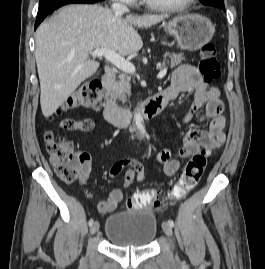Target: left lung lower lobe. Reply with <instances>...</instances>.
Instances as JSON below:
<instances>
[{"label":"left lung lower lobe","instance_id":"0a47b994","mask_svg":"<svg viewBox=\"0 0 265 269\" xmlns=\"http://www.w3.org/2000/svg\"><path fill=\"white\" fill-rule=\"evenodd\" d=\"M204 5L217 7V8H219V9H222L223 11H225V6H224V4H220V3H216V2H209V3H206V4H204Z\"/></svg>","mask_w":265,"mask_h":269}]
</instances>
